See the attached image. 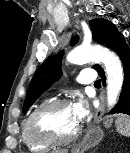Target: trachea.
<instances>
[{
    "mask_svg": "<svg viewBox=\"0 0 130 153\" xmlns=\"http://www.w3.org/2000/svg\"><path fill=\"white\" fill-rule=\"evenodd\" d=\"M94 86H101V81H100V80H97V81L94 83Z\"/></svg>",
    "mask_w": 130,
    "mask_h": 153,
    "instance_id": "3493384b",
    "label": "trachea"
}]
</instances>
